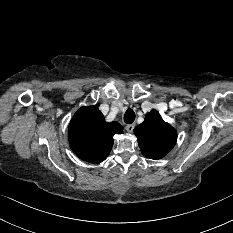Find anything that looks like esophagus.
<instances>
[{"label": "esophagus", "mask_w": 233, "mask_h": 233, "mask_svg": "<svg viewBox=\"0 0 233 233\" xmlns=\"http://www.w3.org/2000/svg\"><path fill=\"white\" fill-rule=\"evenodd\" d=\"M134 127H135V124H128V125L126 126L127 132H129V133L133 132Z\"/></svg>", "instance_id": "1"}]
</instances>
